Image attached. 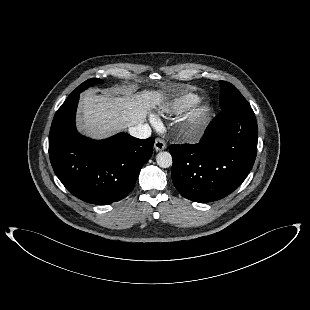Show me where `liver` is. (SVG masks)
<instances>
[{
    "label": "liver",
    "mask_w": 310,
    "mask_h": 310,
    "mask_svg": "<svg viewBox=\"0 0 310 310\" xmlns=\"http://www.w3.org/2000/svg\"><path fill=\"white\" fill-rule=\"evenodd\" d=\"M164 99V91L160 89H146L123 96L87 91L81 97L79 130L95 139L107 137L144 123L149 112L162 106Z\"/></svg>",
    "instance_id": "liver-1"
}]
</instances>
